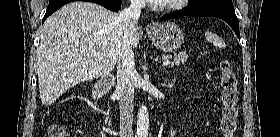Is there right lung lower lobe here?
<instances>
[{"label": "right lung lower lobe", "instance_id": "right-lung-lower-lobe-1", "mask_svg": "<svg viewBox=\"0 0 280 137\" xmlns=\"http://www.w3.org/2000/svg\"><path fill=\"white\" fill-rule=\"evenodd\" d=\"M73 1H77V0H49V5L47 7L46 14L43 18V22L57 9ZM81 1L97 3L112 11H119L122 2V0H81Z\"/></svg>", "mask_w": 280, "mask_h": 137}]
</instances>
